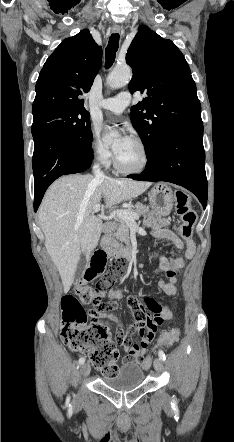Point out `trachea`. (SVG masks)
Listing matches in <instances>:
<instances>
[{"label": "trachea", "instance_id": "1", "mask_svg": "<svg viewBox=\"0 0 234 442\" xmlns=\"http://www.w3.org/2000/svg\"><path fill=\"white\" fill-rule=\"evenodd\" d=\"M119 45V34H112L109 38L108 45L105 49L106 68H110L115 60L116 52Z\"/></svg>", "mask_w": 234, "mask_h": 442}]
</instances>
